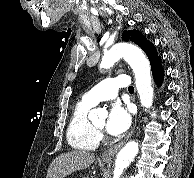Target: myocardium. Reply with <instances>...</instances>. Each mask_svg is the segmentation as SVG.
<instances>
[{
  "instance_id": "f54148a6",
  "label": "myocardium",
  "mask_w": 194,
  "mask_h": 178,
  "mask_svg": "<svg viewBox=\"0 0 194 178\" xmlns=\"http://www.w3.org/2000/svg\"><path fill=\"white\" fill-rule=\"evenodd\" d=\"M96 129L97 132H99L101 130V128H98V127H94Z\"/></svg>"
}]
</instances>
